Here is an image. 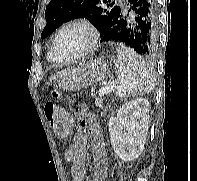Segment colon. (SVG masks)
<instances>
[{
	"label": "colon",
	"mask_w": 197,
	"mask_h": 181,
	"mask_svg": "<svg viewBox=\"0 0 197 181\" xmlns=\"http://www.w3.org/2000/svg\"><path fill=\"white\" fill-rule=\"evenodd\" d=\"M51 94L55 99H58L61 96L59 90L57 89H54ZM44 114L50 126L56 133L63 134L64 132H66L71 122V117L55 102H47L44 105Z\"/></svg>",
	"instance_id": "obj_1"
}]
</instances>
